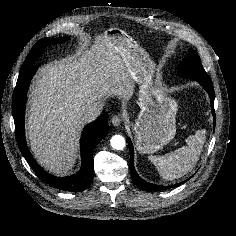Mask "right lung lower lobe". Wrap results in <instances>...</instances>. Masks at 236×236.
I'll list each match as a JSON object with an SVG mask.
<instances>
[{
    "label": "right lung lower lobe",
    "mask_w": 236,
    "mask_h": 236,
    "mask_svg": "<svg viewBox=\"0 0 236 236\" xmlns=\"http://www.w3.org/2000/svg\"><path fill=\"white\" fill-rule=\"evenodd\" d=\"M37 69V66L30 65L21 70L13 93L12 113L15 123V134L18 147L28 164L43 182L60 190L72 192L83 191L91 184L93 180L94 148L100 142V140L108 134V114L104 113L96 121L85 127L80 140L82 167L77 174L61 178L47 173L36 163L29 152L24 131V115L27 90L30 81Z\"/></svg>",
    "instance_id": "obj_1"
}]
</instances>
